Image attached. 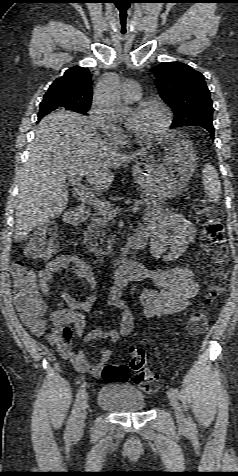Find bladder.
<instances>
[{
  "mask_svg": "<svg viewBox=\"0 0 238 476\" xmlns=\"http://www.w3.org/2000/svg\"><path fill=\"white\" fill-rule=\"evenodd\" d=\"M98 404L108 411L126 414L143 411L146 399L144 394L132 385L109 382L101 388Z\"/></svg>",
  "mask_w": 238,
  "mask_h": 476,
  "instance_id": "obj_1",
  "label": "bladder"
}]
</instances>
